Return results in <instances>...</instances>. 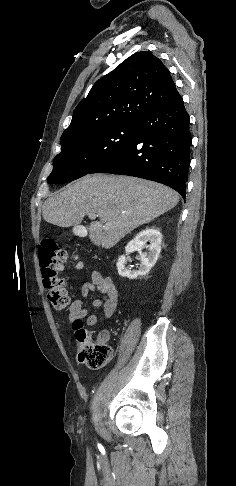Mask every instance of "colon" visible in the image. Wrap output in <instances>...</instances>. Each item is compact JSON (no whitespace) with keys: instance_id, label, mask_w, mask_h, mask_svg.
Here are the masks:
<instances>
[{"instance_id":"1","label":"colon","mask_w":236,"mask_h":486,"mask_svg":"<svg viewBox=\"0 0 236 486\" xmlns=\"http://www.w3.org/2000/svg\"><path fill=\"white\" fill-rule=\"evenodd\" d=\"M68 257L69 252L59 248L53 241H46L39 248L43 284L52 308L57 311L64 310L70 303L65 282L58 277V271ZM73 330L79 361L90 368L103 367L110 359V346L104 341L93 340L81 320L74 322Z\"/></svg>"}]
</instances>
